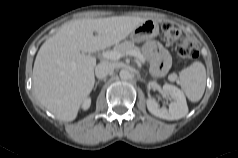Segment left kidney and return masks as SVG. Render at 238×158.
I'll return each instance as SVG.
<instances>
[{
  "label": "left kidney",
  "instance_id": "5707ae66",
  "mask_svg": "<svg viewBox=\"0 0 238 158\" xmlns=\"http://www.w3.org/2000/svg\"><path fill=\"white\" fill-rule=\"evenodd\" d=\"M163 91L172 98L169 109L160 108V105L153 99L146 101L147 108L151 114L166 120H178L188 113V106L184 93L174 85L164 84Z\"/></svg>",
  "mask_w": 238,
  "mask_h": 158
}]
</instances>
